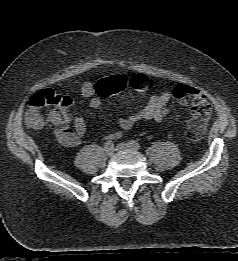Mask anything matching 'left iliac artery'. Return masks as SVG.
I'll return each mask as SVG.
<instances>
[{
	"label": "left iliac artery",
	"instance_id": "left-iliac-artery-1",
	"mask_svg": "<svg viewBox=\"0 0 238 261\" xmlns=\"http://www.w3.org/2000/svg\"><path fill=\"white\" fill-rule=\"evenodd\" d=\"M129 144L136 150L140 149V144L134 140L130 141Z\"/></svg>",
	"mask_w": 238,
	"mask_h": 261
}]
</instances>
